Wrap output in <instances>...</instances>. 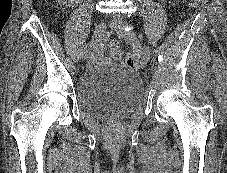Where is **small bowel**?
<instances>
[{"mask_svg":"<svg viewBox=\"0 0 227 173\" xmlns=\"http://www.w3.org/2000/svg\"><path fill=\"white\" fill-rule=\"evenodd\" d=\"M100 56H101V52H99V51L97 52V51H96V52L94 53V60H98V59L100 58Z\"/></svg>","mask_w":227,"mask_h":173,"instance_id":"small-bowel-1","label":"small bowel"}]
</instances>
